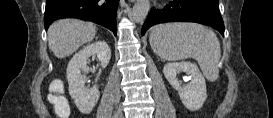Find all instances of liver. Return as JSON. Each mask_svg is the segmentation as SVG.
I'll use <instances>...</instances> for the list:
<instances>
[{
	"label": "liver",
	"instance_id": "obj_1",
	"mask_svg": "<svg viewBox=\"0 0 273 118\" xmlns=\"http://www.w3.org/2000/svg\"><path fill=\"white\" fill-rule=\"evenodd\" d=\"M96 27L90 22L63 19L48 29V46L57 58H65L77 51L83 44L91 42Z\"/></svg>",
	"mask_w": 273,
	"mask_h": 118
}]
</instances>
